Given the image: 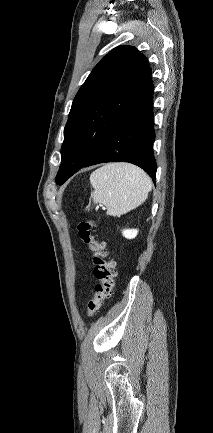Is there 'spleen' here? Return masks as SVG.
Masks as SVG:
<instances>
[{"label": "spleen", "instance_id": "obj_1", "mask_svg": "<svg viewBox=\"0 0 213 433\" xmlns=\"http://www.w3.org/2000/svg\"><path fill=\"white\" fill-rule=\"evenodd\" d=\"M90 183L94 203L103 204L107 215L117 217L140 206L152 189L150 177L128 163L104 165L91 174Z\"/></svg>", "mask_w": 213, "mask_h": 433}]
</instances>
